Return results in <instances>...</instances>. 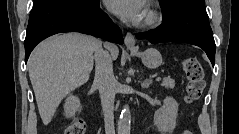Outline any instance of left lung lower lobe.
<instances>
[{
  "instance_id": "left-lung-lower-lobe-1",
  "label": "left lung lower lobe",
  "mask_w": 239,
  "mask_h": 134,
  "mask_svg": "<svg viewBox=\"0 0 239 134\" xmlns=\"http://www.w3.org/2000/svg\"><path fill=\"white\" fill-rule=\"evenodd\" d=\"M136 37L151 43L184 42L199 46L214 66L216 46L203 4L187 3L157 29L138 33Z\"/></svg>"
}]
</instances>
